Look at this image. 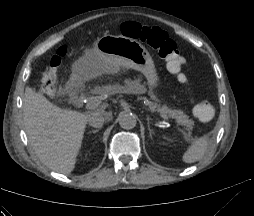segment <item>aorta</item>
I'll list each match as a JSON object with an SVG mask.
<instances>
[{
	"label": "aorta",
	"mask_w": 254,
	"mask_h": 216,
	"mask_svg": "<svg viewBox=\"0 0 254 216\" xmlns=\"http://www.w3.org/2000/svg\"><path fill=\"white\" fill-rule=\"evenodd\" d=\"M118 121L123 129H133L137 124L136 116L132 113H123L119 115Z\"/></svg>",
	"instance_id": "aorta-1"
}]
</instances>
